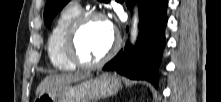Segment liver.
<instances>
[{
  "instance_id": "1",
  "label": "liver",
  "mask_w": 221,
  "mask_h": 102,
  "mask_svg": "<svg viewBox=\"0 0 221 102\" xmlns=\"http://www.w3.org/2000/svg\"><path fill=\"white\" fill-rule=\"evenodd\" d=\"M90 77V73H68L46 77L38 86L36 93L42 94L53 88L61 87Z\"/></svg>"
}]
</instances>
